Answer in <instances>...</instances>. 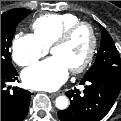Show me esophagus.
Segmentation results:
<instances>
[{"mask_svg": "<svg viewBox=\"0 0 121 121\" xmlns=\"http://www.w3.org/2000/svg\"><path fill=\"white\" fill-rule=\"evenodd\" d=\"M60 94V92H55V93H51L50 95L52 96V97H56V96H58Z\"/></svg>", "mask_w": 121, "mask_h": 121, "instance_id": "esophagus-1", "label": "esophagus"}]
</instances>
